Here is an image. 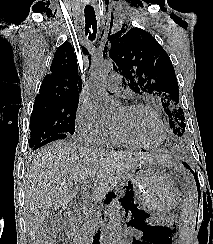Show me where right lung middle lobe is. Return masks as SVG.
<instances>
[{
  "label": "right lung middle lobe",
  "instance_id": "dd1d6c3e",
  "mask_svg": "<svg viewBox=\"0 0 213 244\" xmlns=\"http://www.w3.org/2000/svg\"><path fill=\"white\" fill-rule=\"evenodd\" d=\"M78 99H37L30 118V148L58 134H74Z\"/></svg>",
  "mask_w": 213,
  "mask_h": 244
}]
</instances>
